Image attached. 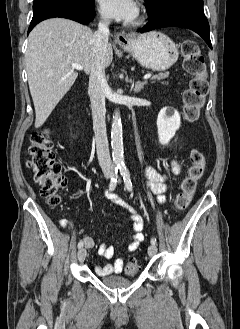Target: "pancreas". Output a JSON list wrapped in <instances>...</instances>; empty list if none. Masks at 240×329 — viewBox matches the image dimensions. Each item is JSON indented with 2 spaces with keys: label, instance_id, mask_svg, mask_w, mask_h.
Listing matches in <instances>:
<instances>
[{
  "label": "pancreas",
  "instance_id": "pancreas-1",
  "mask_svg": "<svg viewBox=\"0 0 240 329\" xmlns=\"http://www.w3.org/2000/svg\"><path fill=\"white\" fill-rule=\"evenodd\" d=\"M168 77V73H160L152 77L153 80H162Z\"/></svg>",
  "mask_w": 240,
  "mask_h": 329
}]
</instances>
